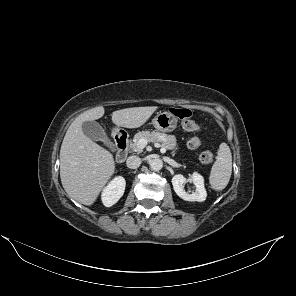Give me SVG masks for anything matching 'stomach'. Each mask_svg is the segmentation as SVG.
Instances as JSON below:
<instances>
[{"instance_id":"stomach-1","label":"stomach","mask_w":296,"mask_h":296,"mask_svg":"<svg viewBox=\"0 0 296 296\" xmlns=\"http://www.w3.org/2000/svg\"><path fill=\"white\" fill-rule=\"evenodd\" d=\"M152 124L160 132H172L177 126V118L170 112H160L154 117Z\"/></svg>"}]
</instances>
